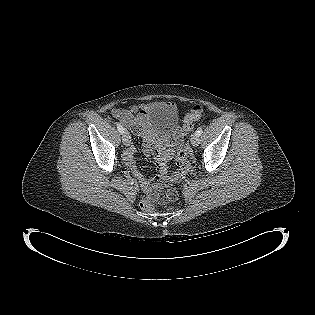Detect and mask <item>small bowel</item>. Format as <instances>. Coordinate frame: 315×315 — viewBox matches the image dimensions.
Segmentation results:
<instances>
[{
	"label": "small bowel",
	"instance_id": "small-bowel-1",
	"mask_svg": "<svg viewBox=\"0 0 315 315\" xmlns=\"http://www.w3.org/2000/svg\"><path fill=\"white\" fill-rule=\"evenodd\" d=\"M156 108H165L172 112L177 111V107L172 102H152L140 105H132L127 108H116L113 116L124 126L134 130L140 138L144 151L152 155L157 161L161 176L149 179L138 169L135 161V149L130 148L124 155V162L130 168L133 176L138 181L141 189L149 193L156 184L167 181L168 160L173 155L172 141L167 135H154L146 128L148 114Z\"/></svg>",
	"mask_w": 315,
	"mask_h": 315
}]
</instances>
